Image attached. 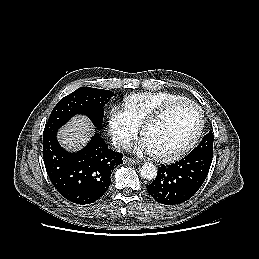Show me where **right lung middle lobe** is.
<instances>
[{
	"label": "right lung middle lobe",
	"mask_w": 259,
	"mask_h": 259,
	"mask_svg": "<svg viewBox=\"0 0 259 259\" xmlns=\"http://www.w3.org/2000/svg\"><path fill=\"white\" fill-rule=\"evenodd\" d=\"M114 95L112 91L90 87H80L62 98L51 112L43 132V138L58 131L76 114L86 115L100 130L102 127L104 106Z\"/></svg>",
	"instance_id": "right-lung-middle-lobe-1"
}]
</instances>
